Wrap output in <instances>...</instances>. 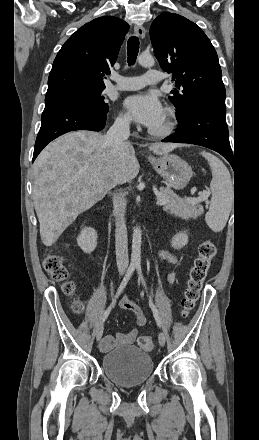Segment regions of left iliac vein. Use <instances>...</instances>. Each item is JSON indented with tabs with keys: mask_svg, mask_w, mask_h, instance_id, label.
Listing matches in <instances>:
<instances>
[{
	"mask_svg": "<svg viewBox=\"0 0 259 440\" xmlns=\"http://www.w3.org/2000/svg\"><path fill=\"white\" fill-rule=\"evenodd\" d=\"M158 341H159L160 346H164L165 345L166 339H165V334L163 332L159 333Z\"/></svg>",
	"mask_w": 259,
	"mask_h": 440,
	"instance_id": "left-iliac-vein-1",
	"label": "left iliac vein"
}]
</instances>
